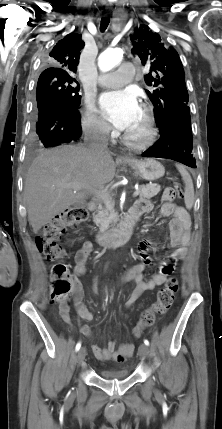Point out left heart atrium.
I'll return each instance as SVG.
<instances>
[{"mask_svg": "<svg viewBox=\"0 0 222 429\" xmlns=\"http://www.w3.org/2000/svg\"><path fill=\"white\" fill-rule=\"evenodd\" d=\"M99 105L105 119L121 131H127L133 125L140 111L136 94L130 90L103 93Z\"/></svg>", "mask_w": 222, "mask_h": 429, "instance_id": "obj_1", "label": "left heart atrium"}]
</instances>
